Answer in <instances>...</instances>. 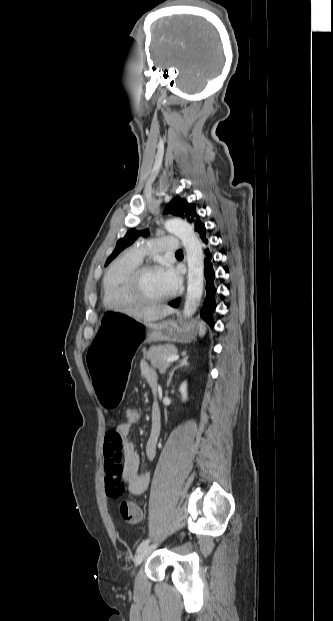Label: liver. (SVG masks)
Returning a JSON list of instances; mask_svg holds the SVG:
<instances>
[{
	"mask_svg": "<svg viewBox=\"0 0 333 621\" xmlns=\"http://www.w3.org/2000/svg\"><path fill=\"white\" fill-rule=\"evenodd\" d=\"M174 309L165 305H156L142 310L127 311L126 314L137 321L154 322L172 314Z\"/></svg>",
	"mask_w": 333,
	"mask_h": 621,
	"instance_id": "1",
	"label": "liver"
}]
</instances>
